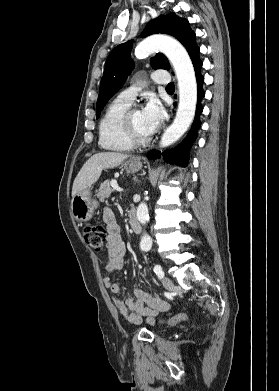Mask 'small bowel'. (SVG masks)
Here are the masks:
<instances>
[{
	"instance_id": "small-bowel-1",
	"label": "small bowel",
	"mask_w": 279,
	"mask_h": 391,
	"mask_svg": "<svg viewBox=\"0 0 279 391\" xmlns=\"http://www.w3.org/2000/svg\"><path fill=\"white\" fill-rule=\"evenodd\" d=\"M103 220L106 223V243L109 256V261L103 270L107 273L120 271L124 267L126 247L120 236V228L110 208L104 209ZM103 282L111 292L115 294L121 292V286L112 282L109 277H105ZM134 296L135 299H132L129 295H123L121 299L114 298L113 300L121 316L131 325L141 324L144 320L152 323L154 321L153 317L170 309V305L166 301L151 296L139 287L134 289Z\"/></svg>"
}]
</instances>
